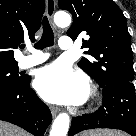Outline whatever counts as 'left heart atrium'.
<instances>
[{
  "mask_svg": "<svg viewBox=\"0 0 136 136\" xmlns=\"http://www.w3.org/2000/svg\"><path fill=\"white\" fill-rule=\"evenodd\" d=\"M34 86L43 99L58 104L82 103L89 91L86 78L60 62L40 69Z\"/></svg>",
  "mask_w": 136,
  "mask_h": 136,
  "instance_id": "obj_1",
  "label": "left heart atrium"
}]
</instances>
